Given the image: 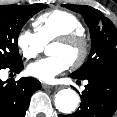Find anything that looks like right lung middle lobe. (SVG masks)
I'll return each mask as SVG.
<instances>
[{"label": "right lung middle lobe", "instance_id": "dd1d6c3e", "mask_svg": "<svg viewBox=\"0 0 117 117\" xmlns=\"http://www.w3.org/2000/svg\"><path fill=\"white\" fill-rule=\"evenodd\" d=\"M46 7L41 3L0 6V69L22 62L17 45L19 33L33 15Z\"/></svg>", "mask_w": 117, "mask_h": 117}]
</instances>
